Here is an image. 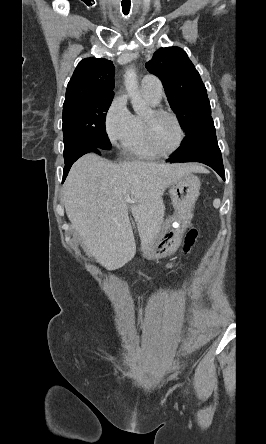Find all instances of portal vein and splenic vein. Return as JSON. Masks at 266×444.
Returning a JSON list of instances; mask_svg holds the SVG:
<instances>
[{
    "label": "portal vein and splenic vein",
    "mask_w": 266,
    "mask_h": 444,
    "mask_svg": "<svg viewBox=\"0 0 266 444\" xmlns=\"http://www.w3.org/2000/svg\"><path fill=\"white\" fill-rule=\"evenodd\" d=\"M126 202H128V203L131 202V199H130L129 195H127V197H126Z\"/></svg>",
    "instance_id": "obj_1"
}]
</instances>
